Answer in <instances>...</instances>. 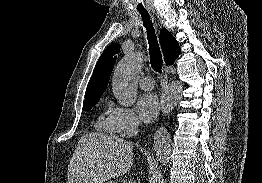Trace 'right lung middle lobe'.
Masks as SVG:
<instances>
[{"instance_id": "dd1d6c3e", "label": "right lung middle lobe", "mask_w": 262, "mask_h": 183, "mask_svg": "<svg viewBox=\"0 0 262 183\" xmlns=\"http://www.w3.org/2000/svg\"><path fill=\"white\" fill-rule=\"evenodd\" d=\"M99 101V99L86 100L83 104V110L89 111Z\"/></svg>"}]
</instances>
